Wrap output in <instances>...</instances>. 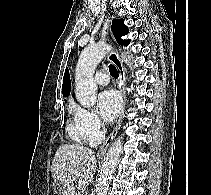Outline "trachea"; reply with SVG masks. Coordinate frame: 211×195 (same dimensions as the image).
Returning a JSON list of instances; mask_svg holds the SVG:
<instances>
[{"label":"trachea","instance_id":"obj_1","mask_svg":"<svg viewBox=\"0 0 211 195\" xmlns=\"http://www.w3.org/2000/svg\"><path fill=\"white\" fill-rule=\"evenodd\" d=\"M109 71L112 77L114 78H118L119 74L117 69L115 68V66H113L112 64L109 65Z\"/></svg>","mask_w":211,"mask_h":195}]
</instances>
